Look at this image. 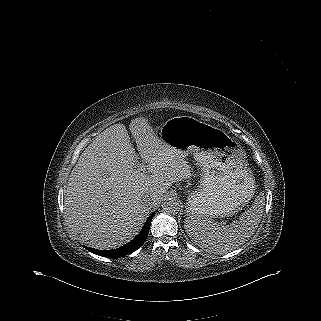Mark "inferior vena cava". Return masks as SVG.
I'll list each match as a JSON object with an SVG mask.
<instances>
[{
    "label": "inferior vena cava",
    "instance_id": "obj_1",
    "mask_svg": "<svg viewBox=\"0 0 321 321\" xmlns=\"http://www.w3.org/2000/svg\"><path fill=\"white\" fill-rule=\"evenodd\" d=\"M145 203L148 205V206H152L153 205V199L151 197H148L146 200H145Z\"/></svg>",
    "mask_w": 321,
    "mask_h": 321
}]
</instances>
